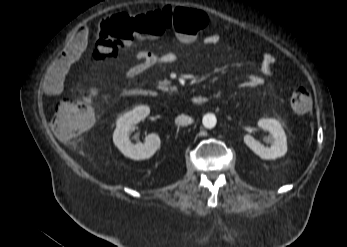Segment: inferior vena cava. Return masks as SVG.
<instances>
[{"label": "inferior vena cava", "mask_w": 347, "mask_h": 247, "mask_svg": "<svg viewBox=\"0 0 347 247\" xmlns=\"http://www.w3.org/2000/svg\"><path fill=\"white\" fill-rule=\"evenodd\" d=\"M193 123V119L187 115H179L175 118V124L178 126H187Z\"/></svg>", "instance_id": "1"}]
</instances>
